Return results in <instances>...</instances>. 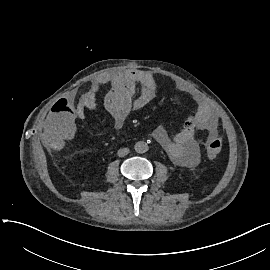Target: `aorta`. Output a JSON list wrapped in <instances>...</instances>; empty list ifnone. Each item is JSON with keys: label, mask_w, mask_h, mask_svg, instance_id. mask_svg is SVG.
Returning a JSON list of instances; mask_svg holds the SVG:
<instances>
[{"label": "aorta", "mask_w": 270, "mask_h": 270, "mask_svg": "<svg viewBox=\"0 0 270 270\" xmlns=\"http://www.w3.org/2000/svg\"><path fill=\"white\" fill-rule=\"evenodd\" d=\"M135 150L137 153L143 154L149 150L148 144L145 141H138L135 144Z\"/></svg>", "instance_id": "762f6f07"}]
</instances>
